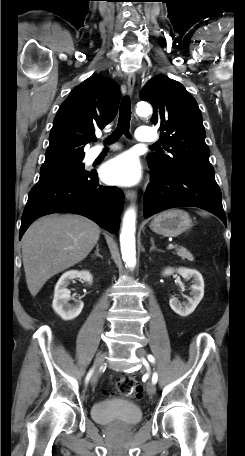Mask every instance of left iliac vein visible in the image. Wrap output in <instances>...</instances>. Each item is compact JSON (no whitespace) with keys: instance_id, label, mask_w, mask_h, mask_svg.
<instances>
[{"instance_id":"obj_1","label":"left iliac vein","mask_w":245,"mask_h":456,"mask_svg":"<svg viewBox=\"0 0 245 456\" xmlns=\"http://www.w3.org/2000/svg\"><path fill=\"white\" fill-rule=\"evenodd\" d=\"M136 354H137V356H139L142 359L143 363H146V359H145L146 351L143 348L137 349ZM155 391H156L155 384L152 381H149L147 383V393L149 395H153L155 393Z\"/></svg>"}]
</instances>
